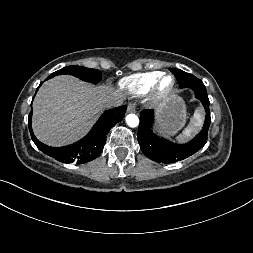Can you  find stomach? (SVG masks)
<instances>
[{
    "mask_svg": "<svg viewBox=\"0 0 253 253\" xmlns=\"http://www.w3.org/2000/svg\"><path fill=\"white\" fill-rule=\"evenodd\" d=\"M159 127L168 135H175L186 123L185 103L179 96L172 95L158 107Z\"/></svg>",
    "mask_w": 253,
    "mask_h": 253,
    "instance_id": "1",
    "label": "stomach"
}]
</instances>
